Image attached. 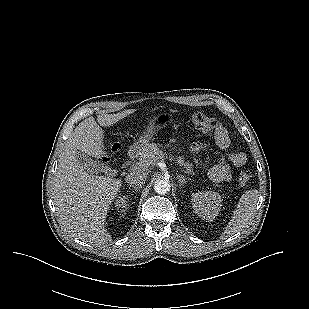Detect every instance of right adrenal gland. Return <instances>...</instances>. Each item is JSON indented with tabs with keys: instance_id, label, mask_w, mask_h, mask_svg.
<instances>
[{
	"instance_id": "obj_1",
	"label": "right adrenal gland",
	"mask_w": 309,
	"mask_h": 309,
	"mask_svg": "<svg viewBox=\"0 0 309 309\" xmlns=\"http://www.w3.org/2000/svg\"><path fill=\"white\" fill-rule=\"evenodd\" d=\"M130 187H131V185H130ZM134 189H135V191H140V188L142 187V186H132Z\"/></svg>"
}]
</instances>
